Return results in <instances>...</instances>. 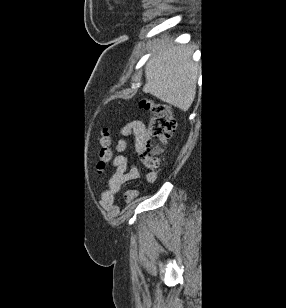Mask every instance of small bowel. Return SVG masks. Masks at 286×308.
Masks as SVG:
<instances>
[{"label": "small bowel", "mask_w": 286, "mask_h": 308, "mask_svg": "<svg viewBox=\"0 0 286 308\" xmlns=\"http://www.w3.org/2000/svg\"><path fill=\"white\" fill-rule=\"evenodd\" d=\"M121 138L117 143V150L119 152L126 151L128 147V141L132 137L135 142V147L139 148L145 137V126L141 121H133L127 124L121 133ZM114 172L109 179V197L104 202L108 206L112 213L117 211L116 207L112 205V200L118 193L121 186L131 180L137 179L140 176L139 169L134 164H129L128 159L124 154H119L115 157L113 162ZM147 178L150 181L155 180L153 173H148ZM137 195V191L134 189L128 190L125 193V201H131Z\"/></svg>", "instance_id": "c3829d8e"}]
</instances>
